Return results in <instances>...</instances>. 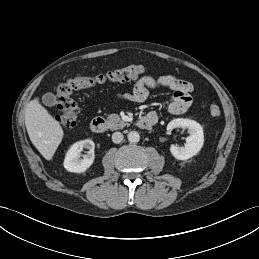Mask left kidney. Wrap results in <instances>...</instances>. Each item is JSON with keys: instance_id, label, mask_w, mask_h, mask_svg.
I'll return each instance as SVG.
<instances>
[{"instance_id": "1", "label": "left kidney", "mask_w": 259, "mask_h": 259, "mask_svg": "<svg viewBox=\"0 0 259 259\" xmlns=\"http://www.w3.org/2000/svg\"><path fill=\"white\" fill-rule=\"evenodd\" d=\"M175 128L188 129L189 136L186 138L184 146L177 147L171 145L170 151L178 160H187L201 150L204 143L203 129L199 123L190 119L177 118L170 121L167 125V130L171 131Z\"/></svg>"}]
</instances>
